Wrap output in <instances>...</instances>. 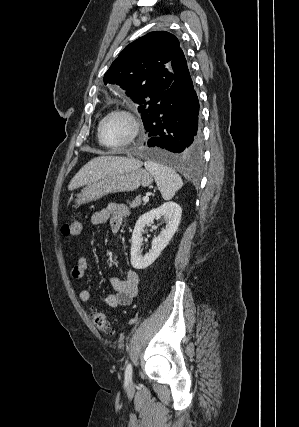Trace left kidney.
<instances>
[{
  "label": "left kidney",
  "instance_id": "obj_1",
  "mask_svg": "<svg viewBox=\"0 0 299 427\" xmlns=\"http://www.w3.org/2000/svg\"><path fill=\"white\" fill-rule=\"evenodd\" d=\"M182 209L175 202H165L156 209L143 214L137 220L131 243V265L135 269H145L150 266L169 244L176 233L181 221ZM162 216L166 221V227L162 229L160 235L153 239L152 247L148 253L141 255L143 245L142 232L146 226L151 225L154 219Z\"/></svg>",
  "mask_w": 299,
  "mask_h": 427
}]
</instances>
